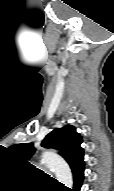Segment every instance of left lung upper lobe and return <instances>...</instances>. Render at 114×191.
Listing matches in <instances>:
<instances>
[{"mask_svg":"<svg viewBox=\"0 0 114 191\" xmlns=\"http://www.w3.org/2000/svg\"><path fill=\"white\" fill-rule=\"evenodd\" d=\"M82 138L72 125H66L61 129H54L42 141V146L51 148L56 145V149L60 151L61 156L68 162L71 169H75L83 163V149L80 144ZM14 156L20 160L27 162L34 154L35 148L33 143H20L9 147Z\"/></svg>","mask_w":114,"mask_h":191,"instance_id":"left-lung-upper-lobe-1","label":"left lung upper lobe"}]
</instances>
